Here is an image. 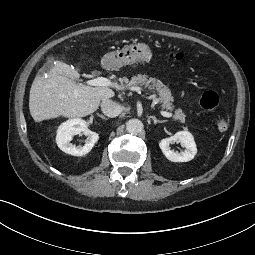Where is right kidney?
<instances>
[{"mask_svg":"<svg viewBox=\"0 0 255 255\" xmlns=\"http://www.w3.org/2000/svg\"><path fill=\"white\" fill-rule=\"evenodd\" d=\"M84 134L87 136L84 146H75L70 141L73 136ZM99 136L96 132L88 129L84 120L75 118L62 123L57 129L56 143L58 147L65 153L73 156H83L91 151Z\"/></svg>","mask_w":255,"mask_h":255,"instance_id":"right-kidney-1","label":"right kidney"}]
</instances>
